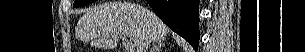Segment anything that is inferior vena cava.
Instances as JSON below:
<instances>
[{
	"label": "inferior vena cava",
	"mask_w": 305,
	"mask_h": 52,
	"mask_svg": "<svg viewBox=\"0 0 305 52\" xmlns=\"http://www.w3.org/2000/svg\"><path fill=\"white\" fill-rule=\"evenodd\" d=\"M152 40L150 39H145L140 46L138 47V52H146L148 50V47L150 46Z\"/></svg>",
	"instance_id": "inferior-vena-cava-1"
}]
</instances>
